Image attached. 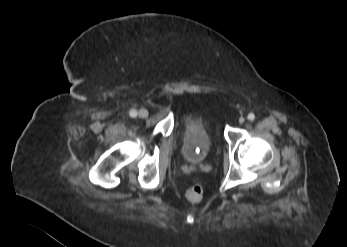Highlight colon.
<instances>
[{"label": "colon", "instance_id": "obj_1", "mask_svg": "<svg viewBox=\"0 0 347 247\" xmlns=\"http://www.w3.org/2000/svg\"><path fill=\"white\" fill-rule=\"evenodd\" d=\"M204 195V190L201 185L193 184L191 185L185 193V196L188 201L192 203H197L202 200Z\"/></svg>", "mask_w": 347, "mask_h": 247}]
</instances>
